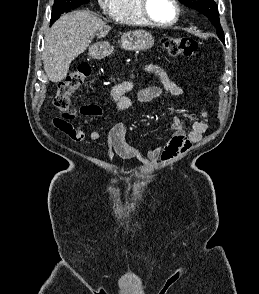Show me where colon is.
<instances>
[{"instance_id":"5ec220e1","label":"colon","mask_w":259,"mask_h":294,"mask_svg":"<svg viewBox=\"0 0 259 294\" xmlns=\"http://www.w3.org/2000/svg\"><path fill=\"white\" fill-rule=\"evenodd\" d=\"M163 45L168 53L173 56H192L200 47L195 39L186 37L165 38L163 39ZM90 74L91 68L88 65H82L71 72L66 79L59 84L54 104L63 117L72 118L77 115L78 109L73 105L72 96L82 86Z\"/></svg>"}]
</instances>
